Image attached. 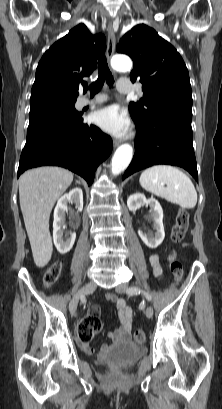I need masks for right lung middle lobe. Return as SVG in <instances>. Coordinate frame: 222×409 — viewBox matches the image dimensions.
Instances as JSON below:
<instances>
[{"mask_svg": "<svg viewBox=\"0 0 222 409\" xmlns=\"http://www.w3.org/2000/svg\"><path fill=\"white\" fill-rule=\"evenodd\" d=\"M74 104L75 102L46 103L36 107H31L29 126H32L53 114H68L76 117L81 116V113L76 111Z\"/></svg>", "mask_w": 222, "mask_h": 409, "instance_id": "obj_1", "label": "right lung middle lobe"}]
</instances>
